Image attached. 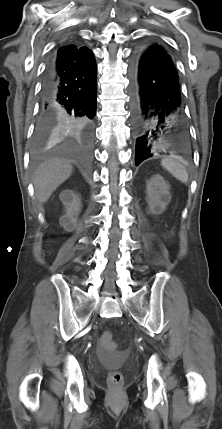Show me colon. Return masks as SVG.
I'll use <instances>...</instances> for the list:
<instances>
[{"label": "colon", "instance_id": "1", "mask_svg": "<svg viewBox=\"0 0 222 429\" xmlns=\"http://www.w3.org/2000/svg\"><path fill=\"white\" fill-rule=\"evenodd\" d=\"M100 345L109 350L116 349V344L113 340V335L111 332L106 331L102 334L100 338ZM108 384L113 389L119 388L123 384L122 373L119 371H111L108 375Z\"/></svg>", "mask_w": 222, "mask_h": 429}]
</instances>
